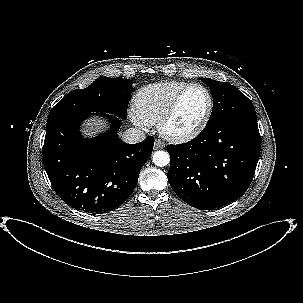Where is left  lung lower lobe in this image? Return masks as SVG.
<instances>
[{
	"mask_svg": "<svg viewBox=\"0 0 303 303\" xmlns=\"http://www.w3.org/2000/svg\"><path fill=\"white\" fill-rule=\"evenodd\" d=\"M256 113L206 125L190 142L168 145V181L198 209H215L239 199L250 186L260 156Z\"/></svg>",
	"mask_w": 303,
	"mask_h": 303,
	"instance_id": "1",
	"label": "left lung lower lobe"
}]
</instances>
